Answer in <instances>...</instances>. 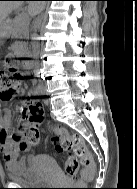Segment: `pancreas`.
<instances>
[{
	"label": "pancreas",
	"mask_w": 137,
	"mask_h": 189,
	"mask_svg": "<svg viewBox=\"0 0 137 189\" xmlns=\"http://www.w3.org/2000/svg\"><path fill=\"white\" fill-rule=\"evenodd\" d=\"M29 21L27 19L15 18L12 32L16 38L25 39L28 36Z\"/></svg>",
	"instance_id": "1"
}]
</instances>
